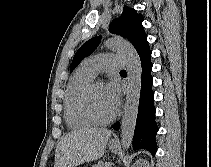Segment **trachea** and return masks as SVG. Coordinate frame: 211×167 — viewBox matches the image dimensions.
Here are the masks:
<instances>
[{
  "label": "trachea",
  "mask_w": 211,
  "mask_h": 167,
  "mask_svg": "<svg viewBox=\"0 0 211 167\" xmlns=\"http://www.w3.org/2000/svg\"><path fill=\"white\" fill-rule=\"evenodd\" d=\"M121 72H125V70H121Z\"/></svg>",
  "instance_id": "obj_1"
}]
</instances>
